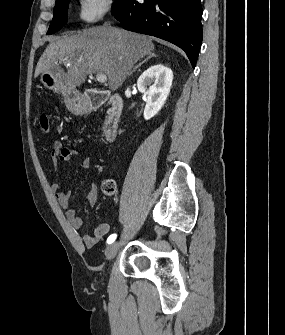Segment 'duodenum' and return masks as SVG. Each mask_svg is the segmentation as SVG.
<instances>
[{
	"mask_svg": "<svg viewBox=\"0 0 285 335\" xmlns=\"http://www.w3.org/2000/svg\"><path fill=\"white\" fill-rule=\"evenodd\" d=\"M108 104V109L103 122V134L107 141H113L118 133L123 100L118 94H110L108 91L91 89L88 90L81 100V109L83 112L93 111L100 106Z\"/></svg>",
	"mask_w": 285,
	"mask_h": 335,
	"instance_id": "1",
	"label": "duodenum"
}]
</instances>
